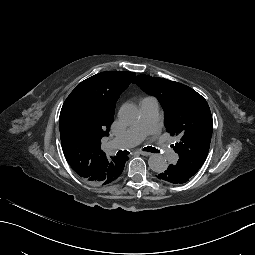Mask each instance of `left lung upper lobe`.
<instances>
[{"mask_svg": "<svg viewBox=\"0 0 255 255\" xmlns=\"http://www.w3.org/2000/svg\"><path fill=\"white\" fill-rule=\"evenodd\" d=\"M133 83L159 100L167 131L180 138L174 146L179 160L171 166L194 176L205 162L210 147L213 120L208 103L190 87L167 79L139 75Z\"/></svg>", "mask_w": 255, "mask_h": 255, "instance_id": "obj_1", "label": "left lung upper lobe"}]
</instances>
